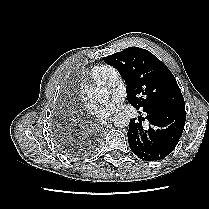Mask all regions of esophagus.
<instances>
[{"label": "esophagus", "mask_w": 209, "mask_h": 209, "mask_svg": "<svg viewBox=\"0 0 209 209\" xmlns=\"http://www.w3.org/2000/svg\"><path fill=\"white\" fill-rule=\"evenodd\" d=\"M110 121H111V118H110L108 121H103V122H102V125L105 126V125L108 124Z\"/></svg>", "instance_id": "1"}]
</instances>
